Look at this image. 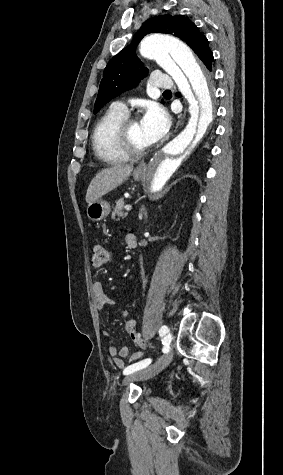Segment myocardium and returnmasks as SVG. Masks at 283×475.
<instances>
[{
  "instance_id": "1",
  "label": "myocardium",
  "mask_w": 283,
  "mask_h": 475,
  "mask_svg": "<svg viewBox=\"0 0 283 475\" xmlns=\"http://www.w3.org/2000/svg\"><path fill=\"white\" fill-rule=\"evenodd\" d=\"M137 119L136 116L128 115L115 129L113 140L115 143H125L131 145L130 140V127L133 121ZM106 145L102 146L98 150V155L106 162H130L133 163L143 157H145L151 150V145L146 149L133 148L129 154L117 153L111 154L105 151Z\"/></svg>"
}]
</instances>
